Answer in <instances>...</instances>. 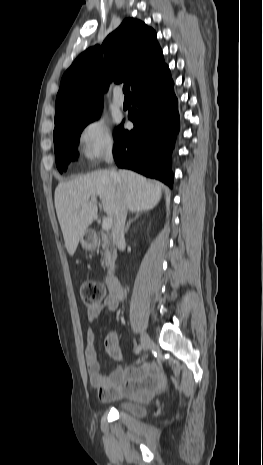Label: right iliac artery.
Segmentation results:
<instances>
[{"label": "right iliac artery", "instance_id": "right-iliac-artery-1", "mask_svg": "<svg viewBox=\"0 0 263 465\" xmlns=\"http://www.w3.org/2000/svg\"><path fill=\"white\" fill-rule=\"evenodd\" d=\"M141 349H142V346H141V345H138V346L136 347V350H135V351H136V352H140Z\"/></svg>", "mask_w": 263, "mask_h": 465}]
</instances>
